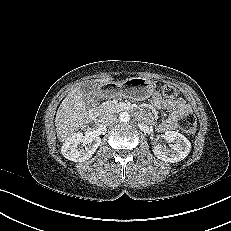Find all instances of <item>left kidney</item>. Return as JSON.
Here are the masks:
<instances>
[{"instance_id": "obj_1", "label": "left kidney", "mask_w": 231, "mask_h": 231, "mask_svg": "<svg viewBox=\"0 0 231 231\" xmlns=\"http://www.w3.org/2000/svg\"><path fill=\"white\" fill-rule=\"evenodd\" d=\"M163 138L169 143V148L164 145H157L153 149L154 155L164 161L175 163L183 160L191 150L190 141L176 131H166Z\"/></svg>"}]
</instances>
